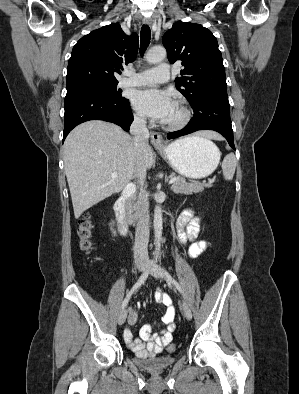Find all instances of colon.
<instances>
[{
    "mask_svg": "<svg viewBox=\"0 0 299 394\" xmlns=\"http://www.w3.org/2000/svg\"><path fill=\"white\" fill-rule=\"evenodd\" d=\"M78 234L80 236V246L83 251H90L92 248L91 235H92V223L89 217H85L79 225ZM175 349L174 345L169 346V350L173 351Z\"/></svg>",
    "mask_w": 299,
    "mask_h": 394,
    "instance_id": "colon-1",
    "label": "colon"
}]
</instances>
